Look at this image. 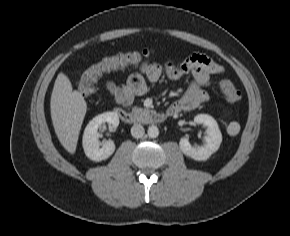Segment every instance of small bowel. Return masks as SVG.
Returning <instances> with one entry per match:
<instances>
[{
	"label": "small bowel",
	"instance_id": "1",
	"mask_svg": "<svg viewBox=\"0 0 290 236\" xmlns=\"http://www.w3.org/2000/svg\"><path fill=\"white\" fill-rule=\"evenodd\" d=\"M223 72L224 67L209 56L193 53L179 65L170 60L164 63L145 60L140 64L139 71L130 75L126 84L117 85L108 80L105 83V88L116 104L128 108L132 105L135 97L148 91L149 83L159 81L164 75L172 80L191 75V83L184 95L168 107V113L173 115L195 109L207 101L209 98L207 88L211 84V76Z\"/></svg>",
	"mask_w": 290,
	"mask_h": 236
}]
</instances>
